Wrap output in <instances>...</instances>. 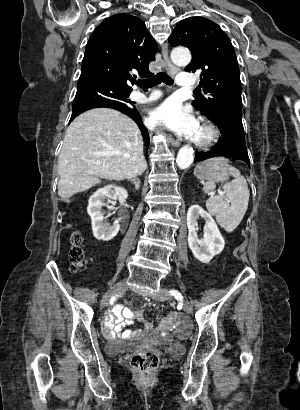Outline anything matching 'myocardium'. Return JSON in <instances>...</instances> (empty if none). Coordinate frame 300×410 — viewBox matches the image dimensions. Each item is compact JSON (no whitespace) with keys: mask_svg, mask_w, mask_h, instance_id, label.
I'll use <instances>...</instances> for the list:
<instances>
[{"mask_svg":"<svg viewBox=\"0 0 300 410\" xmlns=\"http://www.w3.org/2000/svg\"><path fill=\"white\" fill-rule=\"evenodd\" d=\"M199 128L204 131L205 135L202 138H194L193 143L195 147L200 149H207L213 146L219 139V128L209 120H202Z\"/></svg>","mask_w":300,"mask_h":410,"instance_id":"f54148a6","label":"myocardium"}]
</instances>
